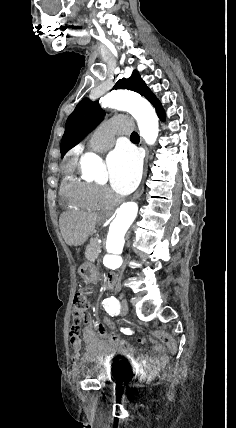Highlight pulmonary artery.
<instances>
[{
  "instance_id": "pulmonary-artery-1",
  "label": "pulmonary artery",
  "mask_w": 236,
  "mask_h": 428,
  "mask_svg": "<svg viewBox=\"0 0 236 428\" xmlns=\"http://www.w3.org/2000/svg\"><path fill=\"white\" fill-rule=\"evenodd\" d=\"M112 145H113V142H111V143L101 142L100 143V142L93 141L91 143V145L89 146V149L92 151H96V152H102V151L109 149Z\"/></svg>"
}]
</instances>
